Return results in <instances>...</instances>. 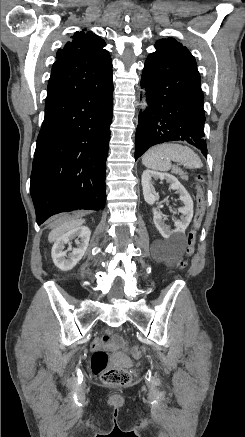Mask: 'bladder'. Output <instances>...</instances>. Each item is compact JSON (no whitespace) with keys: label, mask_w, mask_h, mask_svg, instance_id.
I'll use <instances>...</instances> for the list:
<instances>
[{"label":"bladder","mask_w":245,"mask_h":437,"mask_svg":"<svg viewBox=\"0 0 245 437\" xmlns=\"http://www.w3.org/2000/svg\"><path fill=\"white\" fill-rule=\"evenodd\" d=\"M124 361H125V359H124L123 357H118V362H119V363L122 364Z\"/></svg>","instance_id":"obj_1"}]
</instances>
